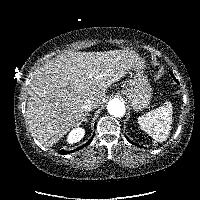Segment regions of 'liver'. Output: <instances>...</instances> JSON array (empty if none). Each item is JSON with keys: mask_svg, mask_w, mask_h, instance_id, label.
Listing matches in <instances>:
<instances>
[{"mask_svg": "<svg viewBox=\"0 0 200 200\" xmlns=\"http://www.w3.org/2000/svg\"><path fill=\"white\" fill-rule=\"evenodd\" d=\"M141 63L133 50L64 52L34 74L26 115L33 136L51 147L85 117L82 103L90 99L97 108L105 91Z\"/></svg>", "mask_w": 200, "mask_h": 200, "instance_id": "liver-1", "label": "liver"}]
</instances>
